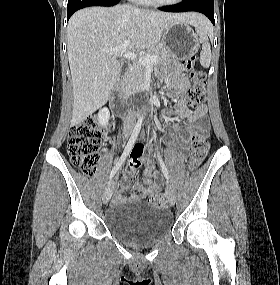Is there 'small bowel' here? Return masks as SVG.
<instances>
[{
	"label": "small bowel",
	"instance_id": "c3829d8e",
	"mask_svg": "<svg viewBox=\"0 0 280 285\" xmlns=\"http://www.w3.org/2000/svg\"><path fill=\"white\" fill-rule=\"evenodd\" d=\"M164 81L168 82L171 87V92L175 97V106L178 110L180 119L182 120V125H173V132L179 141L183 149L187 148L189 143V135L195 133H205L209 131V122L207 120V107L205 104H201L194 111H191L184 100V94L190 86V82L185 75L180 73V69L175 67L172 71V78L165 77ZM141 144H137L135 149H142ZM147 162V167L145 170H150L152 175L145 179V183L140 181H135L133 187L135 193H133L129 200L140 201L147 198L149 195L157 193L161 186V176L154 169V160L150 155L142 157ZM141 165V159L129 160V170L127 174L123 177L122 182L117 186L113 198L116 202H123L128 200L124 196V191L126 189V184L130 181L132 173L139 168Z\"/></svg>",
	"mask_w": 280,
	"mask_h": 285
}]
</instances>
